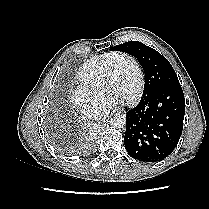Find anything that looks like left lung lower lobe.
I'll return each instance as SVG.
<instances>
[{
	"instance_id": "obj_1",
	"label": "left lung lower lobe",
	"mask_w": 209,
	"mask_h": 209,
	"mask_svg": "<svg viewBox=\"0 0 209 209\" xmlns=\"http://www.w3.org/2000/svg\"><path fill=\"white\" fill-rule=\"evenodd\" d=\"M185 99L179 82L142 96L126 113L125 148L143 162H158L172 153L183 130Z\"/></svg>"
}]
</instances>
